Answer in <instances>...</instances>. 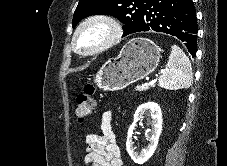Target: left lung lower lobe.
Wrapping results in <instances>:
<instances>
[{"mask_svg":"<svg viewBox=\"0 0 227 166\" xmlns=\"http://www.w3.org/2000/svg\"><path fill=\"white\" fill-rule=\"evenodd\" d=\"M152 30L177 37L195 56L197 21L192 0H147L135 32Z\"/></svg>","mask_w":227,"mask_h":166,"instance_id":"obj_1","label":"left lung lower lobe"}]
</instances>
